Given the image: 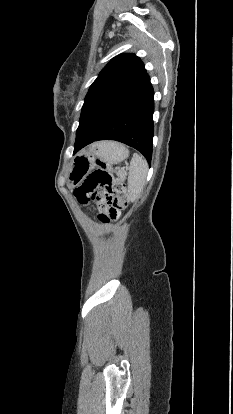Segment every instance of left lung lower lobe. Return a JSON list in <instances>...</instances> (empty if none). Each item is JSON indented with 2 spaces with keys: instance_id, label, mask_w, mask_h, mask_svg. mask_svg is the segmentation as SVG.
I'll return each instance as SVG.
<instances>
[{
  "instance_id": "obj_1",
  "label": "left lung lower lobe",
  "mask_w": 233,
  "mask_h": 414,
  "mask_svg": "<svg viewBox=\"0 0 233 414\" xmlns=\"http://www.w3.org/2000/svg\"><path fill=\"white\" fill-rule=\"evenodd\" d=\"M154 91L148 74L124 90L89 104L81 112L74 153L99 140L125 143L152 157Z\"/></svg>"
}]
</instances>
